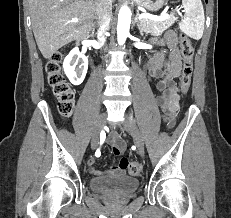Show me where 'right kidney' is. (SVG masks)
Listing matches in <instances>:
<instances>
[{"instance_id":"obj_1","label":"right kidney","mask_w":231,"mask_h":218,"mask_svg":"<svg viewBox=\"0 0 231 218\" xmlns=\"http://www.w3.org/2000/svg\"><path fill=\"white\" fill-rule=\"evenodd\" d=\"M63 68L70 82L74 85H80L87 73L88 59L75 47L64 59Z\"/></svg>"}]
</instances>
